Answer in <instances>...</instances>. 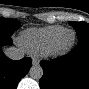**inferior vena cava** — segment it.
Instances as JSON below:
<instances>
[{"label": "inferior vena cava", "instance_id": "inferior-vena-cava-1", "mask_svg": "<svg viewBox=\"0 0 89 89\" xmlns=\"http://www.w3.org/2000/svg\"><path fill=\"white\" fill-rule=\"evenodd\" d=\"M5 54L12 60H20L24 57V51L15 47L7 48Z\"/></svg>", "mask_w": 89, "mask_h": 89}]
</instances>
